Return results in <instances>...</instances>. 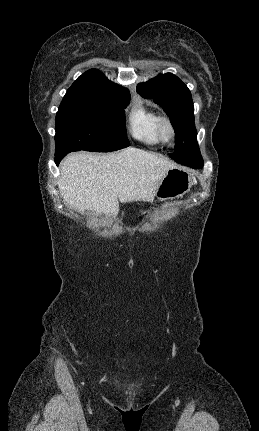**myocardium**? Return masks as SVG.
Wrapping results in <instances>:
<instances>
[{"label":"myocardium","instance_id":"1","mask_svg":"<svg viewBox=\"0 0 259 431\" xmlns=\"http://www.w3.org/2000/svg\"><path fill=\"white\" fill-rule=\"evenodd\" d=\"M156 130L159 140L163 143H169L175 137L174 125L166 116L159 117Z\"/></svg>","mask_w":259,"mask_h":431}]
</instances>
